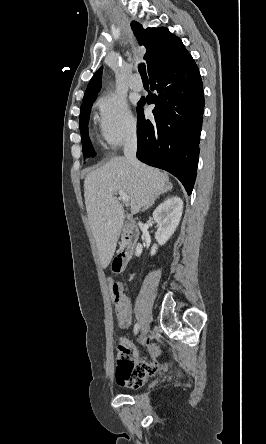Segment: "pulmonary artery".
<instances>
[{"mask_svg":"<svg viewBox=\"0 0 266 444\" xmlns=\"http://www.w3.org/2000/svg\"><path fill=\"white\" fill-rule=\"evenodd\" d=\"M137 79H138V74H134L132 76V79H131L129 85L132 90L139 92V91H142V89H143V83H142V81L137 80Z\"/></svg>","mask_w":266,"mask_h":444,"instance_id":"e3ab8cb5","label":"pulmonary artery"}]
</instances>
